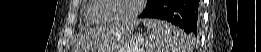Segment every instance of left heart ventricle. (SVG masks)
Segmentation results:
<instances>
[{"label": "left heart ventricle", "instance_id": "b2bd125f", "mask_svg": "<svg viewBox=\"0 0 261 52\" xmlns=\"http://www.w3.org/2000/svg\"><path fill=\"white\" fill-rule=\"evenodd\" d=\"M111 7L107 12V18L122 19L127 17L136 8L137 0H109Z\"/></svg>", "mask_w": 261, "mask_h": 52}]
</instances>
